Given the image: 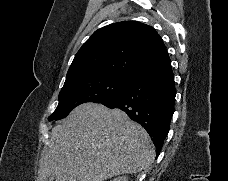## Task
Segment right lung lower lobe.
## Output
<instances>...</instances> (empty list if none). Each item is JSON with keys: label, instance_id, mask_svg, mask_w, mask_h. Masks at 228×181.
I'll list each match as a JSON object with an SVG mask.
<instances>
[{"label": "right lung lower lobe", "instance_id": "1", "mask_svg": "<svg viewBox=\"0 0 228 181\" xmlns=\"http://www.w3.org/2000/svg\"><path fill=\"white\" fill-rule=\"evenodd\" d=\"M176 89L169 58L134 75L113 99L102 102L119 108L149 133L160 154L174 113Z\"/></svg>", "mask_w": 228, "mask_h": 181}]
</instances>
